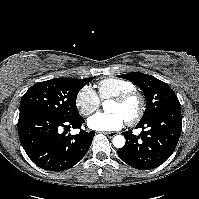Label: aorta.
Here are the masks:
<instances>
[{
  "instance_id": "aorta-1",
  "label": "aorta",
  "mask_w": 199,
  "mask_h": 199,
  "mask_svg": "<svg viewBox=\"0 0 199 199\" xmlns=\"http://www.w3.org/2000/svg\"><path fill=\"white\" fill-rule=\"evenodd\" d=\"M109 102H110V101H105V102L103 103V107L105 108V105H106L107 103H109ZM112 142H113V145H114L116 148H122V147L125 145V138H124V136H122V135H116V136L113 138Z\"/></svg>"
}]
</instances>
